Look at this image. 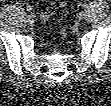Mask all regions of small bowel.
Returning a JSON list of instances; mask_svg holds the SVG:
<instances>
[{"label":"small bowel","mask_w":111,"mask_h":106,"mask_svg":"<svg viewBox=\"0 0 111 106\" xmlns=\"http://www.w3.org/2000/svg\"><path fill=\"white\" fill-rule=\"evenodd\" d=\"M67 2L65 0H60L57 2V5L60 9H63L66 6ZM42 20H48L51 17V11L45 10L40 14Z\"/></svg>","instance_id":"1"}]
</instances>
